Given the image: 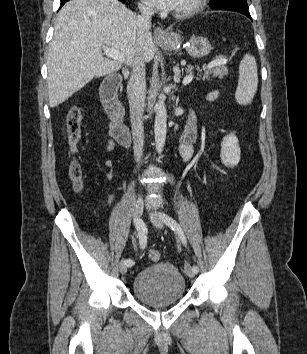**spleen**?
I'll return each mask as SVG.
<instances>
[{
    "instance_id": "1",
    "label": "spleen",
    "mask_w": 307,
    "mask_h": 354,
    "mask_svg": "<svg viewBox=\"0 0 307 354\" xmlns=\"http://www.w3.org/2000/svg\"><path fill=\"white\" fill-rule=\"evenodd\" d=\"M258 74L255 58L250 54L244 55L239 64L238 87L235 99L240 105L250 104L256 94Z\"/></svg>"
}]
</instances>
